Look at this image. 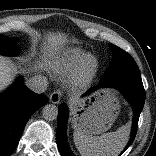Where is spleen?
Listing matches in <instances>:
<instances>
[{
    "instance_id": "1",
    "label": "spleen",
    "mask_w": 156,
    "mask_h": 156,
    "mask_svg": "<svg viewBox=\"0 0 156 156\" xmlns=\"http://www.w3.org/2000/svg\"><path fill=\"white\" fill-rule=\"evenodd\" d=\"M128 139V126L95 136L86 128L74 127L73 140L81 156H118Z\"/></svg>"
}]
</instances>
